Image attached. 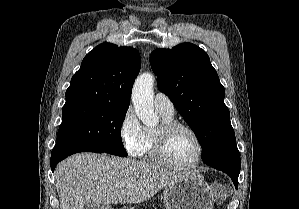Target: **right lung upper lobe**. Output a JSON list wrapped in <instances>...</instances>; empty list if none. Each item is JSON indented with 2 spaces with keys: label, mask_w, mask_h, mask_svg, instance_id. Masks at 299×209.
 I'll use <instances>...</instances> for the list:
<instances>
[{
  "label": "right lung upper lobe",
  "mask_w": 299,
  "mask_h": 209,
  "mask_svg": "<svg viewBox=\"0 0 299 209\" xmlns=\"http://www.w3.org/2000/svg\"><path fill=\"white\" fill-rule=\"evenodd\" d=\"M141 58L131 47L103 43L90 51L73 75L64 106L100 104L129 107Z\"/></svg>",
  "instance_id": "right-lung-upper-lobe-1"
}]
</instances>
